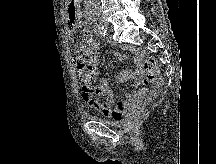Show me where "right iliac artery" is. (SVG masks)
Masks as SVG:
<instances>
[{"label":"right iliac artery","instance_id":"82829eb1","mask_svg":"<svg viewBox=\"0 0 216 164\" xmlns=\"http://www.w3.org/2000/svg\"><path fill=\"white\" fill-rule=\"evenodd\" d=\"M94 29L98 35H101V36L106 35V30L104 29V27L101 24H97Z\"/></svg>","mask_w":216,"mask_h":164}]
</instances>
